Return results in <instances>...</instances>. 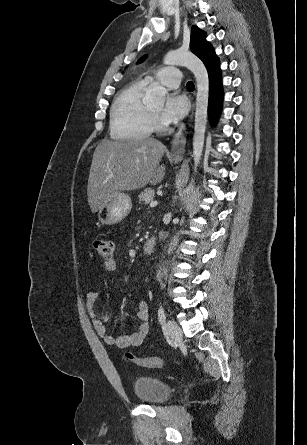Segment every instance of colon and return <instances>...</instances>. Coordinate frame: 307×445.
<instances>
[{
    "mask_svg": "<svg viewBox=\"0 0 307 445\" xmlns=\"http://www.w3.org/2000/svg\"><path fill=\"white\" fill-rule=\"evenodd\" d=\"M94 247L97 253L104 259L112 258L114 246L109 240H96L94 242ZM126 359L147 368H161L163 366V361L157 357H138L132 353H126Z\"/></svg>",
    "mask_w": 307,
    "mask_h": 445,
    "instance_id": "obj_1",
    "label": "colon"
}]
</instances>
